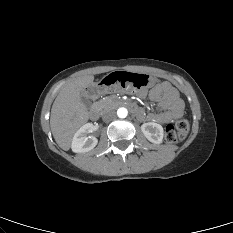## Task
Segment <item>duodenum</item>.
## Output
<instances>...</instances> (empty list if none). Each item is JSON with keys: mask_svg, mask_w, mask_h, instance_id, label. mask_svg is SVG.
<instances>
[{"mask_svg": "<svg viewBox=\"0 0 233 233\" xmlns=\"http://www.w3.org/2000/svg\"><path fill=\"white\" fill-rule=\"evenodd\" d=\"M121 104L131 109L137 116L140 115L141 111L136 107L135 104L128 101H122ZM89 116L92 120H97L99 118V108L97 106H93L90 109Z\"/></svg>", "mask_w": 233, "mask_h": 233, "instance_id": "obj_1", "label": "duodenum"}]
</instances>
